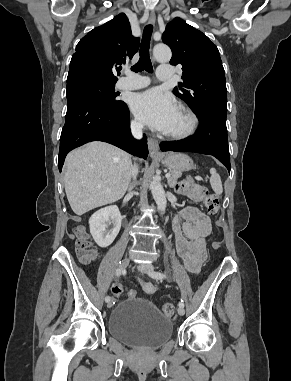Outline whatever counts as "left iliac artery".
Segmentation results:
<instances>
[{"label":"left iliac artery","mask_w":291,"mask_h":381,"mask_svg":"<svg viewBox=\"0 0 291 381\" xmlns=\"http://www.w3.org/2000/svg\"><path fill=\"white\" fill-rule=\"evenodd\" d=\"M149 276H151L152 278H155V279H165L166 278V275L160 271H152ZM179 306H182L184 307V301L181 299V301L179 302Z\"/></svg>","instance_id":"left-iliac-artery-1"}]
</instances>
